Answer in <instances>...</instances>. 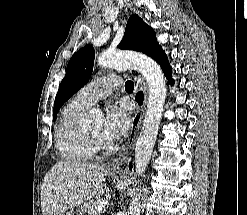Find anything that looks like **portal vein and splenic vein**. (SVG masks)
I'll return each mask as SVG.
<instances>
[{
	"instance_id": "portal-vein-and-splenic-vein-1",
	"label": "portal vein and splenic vein",
	"mask_w": 247,
	"mask_h": 215,
	"mask_svg": "<svg viewBox=\"0 0 247 215\" xmlns=\"http://www.w3.org/2000/svg\"><path fill=\"white\" fill-rule=\"evenodd\" d=\"M107 205V202H100V204L97 206V212L101 213L102 209Z\"/></svg>"
}]
</instances>
